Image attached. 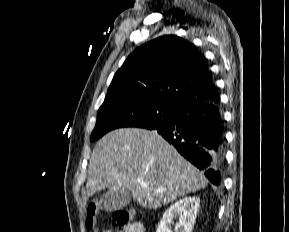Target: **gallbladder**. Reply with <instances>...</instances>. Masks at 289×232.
Listing matches in <instances>:
<instances>
[{
	"label": "gallbladder",
	"mask_w": 289,
	"mask_h": 232,
	"mask_svg": "<svg viewBox=\"0 0 289 232\" xmlns=\"http://www.w3.org/2000/svg\"><path fill=\"white\" fill-rule=\"evenodd\" d=\"M131 201V194L128 191L109 190L101 198V208L107 212L120 210L126 207Z\"/></svg>",
	"instance_id": "bac80fb5"
}]
</instances>
